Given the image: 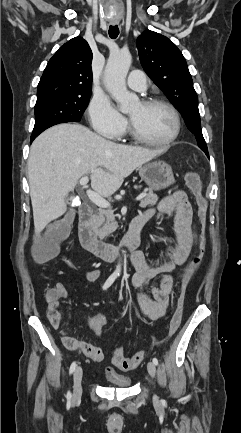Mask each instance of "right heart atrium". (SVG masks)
<instances>
[{
	"instance_id": "d8ad5b80",
	"label": "right heart atrium",
	"mask_w": 241,
	"mask_h": 433,
	"mask_svg": "<svg viewBox=\"0 0 241 433\" xmlns=\"http://www.w3.org/2000/svg\"><path fill=\"white\" fill-rule=\"evenodd\" d=\"M92 128L111 139H119L127 129V120L105 97H95L88 108Z\"/></svg>"
}]
</instances>
